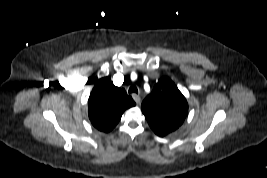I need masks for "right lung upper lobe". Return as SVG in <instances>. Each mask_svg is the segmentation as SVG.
<instances>
[{
  "label": "right lung upper lobe",
  "instance_id": "cb5924a9",
  "mask_svg": "<svg viewBox=\"0 0 267 178\" xmlns=\"http://www.w3.org/2000/svg\"><path fill=\"white\" fill-rule=\"evenodd\" d=\"M135 106L124 89L116 87L108 78L95 82L88 100V114L93 126L102 132L111 131L121 119L123 112Z\"/></svg>",
  "mask_w": 267,
  "mask_h": 178
}]
</instances>
